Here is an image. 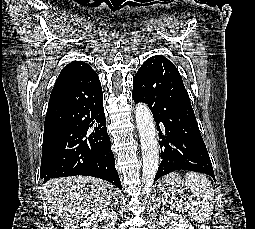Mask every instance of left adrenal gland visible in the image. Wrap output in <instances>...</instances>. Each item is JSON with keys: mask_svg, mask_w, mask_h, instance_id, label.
<instances>
[{"mask_svg": "<svg viewBox=\"0 0 255 229\" xmlns=\"http://www.w3.org/2000/svg\"><path fill=\"white\" fill-rule=\"evenodd\" d=\"M159 202H160V198H159V201H158V206L160 205Z\"/></svg>", "mask_w": 255, "mask_h": 229, "instance_id": "left-adrenal-gland-1", "label": "left adrenal gland"}]
</instances>
